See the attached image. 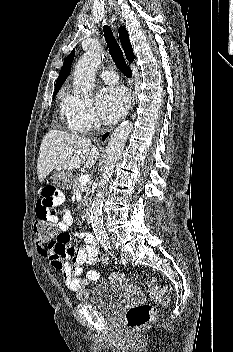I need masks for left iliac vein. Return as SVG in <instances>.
Returning a JSON list of instances; mask_svg holds the SVG:
<instances>
[{
  "mask_svg": "<svg viewBox=\"0 0 233 352\" xmlns=\"http://www.w3.org/2000/svg\"><path fill=\"white\" fill-rule=\"evenodd\" d=\"M122 257L125 259V261H128L130 258V253L128 251H123Z\"/></svg>",
  "mask_w": 233,
  "mask_h": 352,
  "instance_id": "1",
  "label": "left iliac vein"
}]
</instances>
